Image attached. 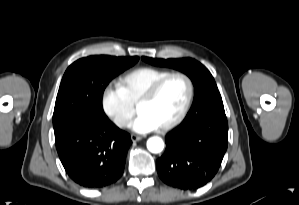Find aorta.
Here are the masks:
<instances>
[{
	"instance_id": "aorta-1",
	"label": "aorta",
	"mask_w": 299,
	"mask_h": 205,
	"mask_svg": "<svg viewBox=\"0 0 299 205\" xmlns=\"http://www.w3.org/2000/svg\"><path fill=\"white\" fill-rule=\"evenodd\" d=\"M147 148L151 153H160L164 149V142L158 136L151 137L147 140Z\"/></svg>"
}]
</instances>
